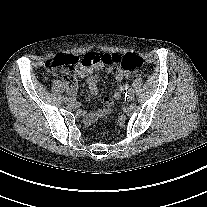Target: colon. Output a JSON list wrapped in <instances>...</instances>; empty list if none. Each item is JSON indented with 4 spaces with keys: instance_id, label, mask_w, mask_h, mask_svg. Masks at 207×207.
<instances>
[{
    "instance_id": "colon-1",
    "label": "colon",
    "mask_w": 207,
    "mask_h": 207,
    "mask_svg": "<svg viewBox=\"0 0 207 207\" xmlns=\"http://www.w3.org/2000/svg\"><path fill=\"white\" fill-rule=\"evenodd\" d=\"M115 64L125 71H135L143 67V59L134 54H95L78 58L70 54H61L47 62L48 71H63L65 81L72 87L75 82V74L80 67H86L92 64ZM94 125L91 126L93 128Z\"/></svg>"
}]
</instances>
